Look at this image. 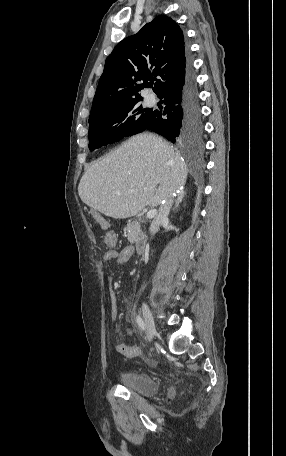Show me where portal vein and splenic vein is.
I'll use <instances>...</instances> for the list:
<instances>
[{
    "label": "portal vein and splenic vein",
    "mask_w": 286,
    "mask_h": 456,
    "mask_svg": "<svg viewBox=\"0 0 286 456\" xmlns=\"http://www.w3.org/2000/svg\"><path fill=\"white\" fill-rule=\"evenodd\" d=\"M156 212V209L149 210L146 214L147 218H153L156 215Z\"/></svg>",
    "instance_id": "portal-vein-and-splenic-vein-1"
}]
</instances>
